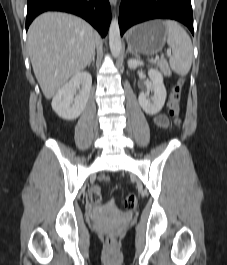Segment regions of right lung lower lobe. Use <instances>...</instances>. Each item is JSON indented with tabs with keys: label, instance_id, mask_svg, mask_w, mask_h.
Masks as SVG:
<instances>
[{
	"label": "right lung lower lobe",
	"instance_id": "right-lung-lower-lobe-1",
	"mask_svg": "<svg viewBox=\"0 0 227 265\" xmlns=\"http://www.w3.org/2000/svg\"><path fill=\"white\" fill-rule=\"evenodd\" d=\"M45 11H64L76 14L105 36L111 21L108 0H27L26 30L36 16Z\"/></svg>",
	"mask_w": 227,
	"mask_h": 265
}]
</instances>
